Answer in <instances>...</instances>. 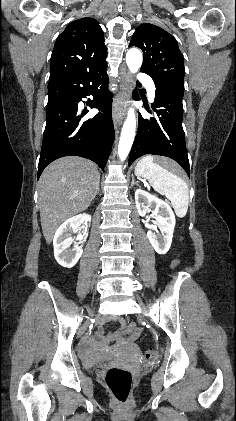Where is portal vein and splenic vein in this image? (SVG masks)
I'll use <instances>...</instances> for the list:
<instances>
[{
  "label": "portal vein and splenic vein",
  "mask_w": 236,
  "mask_h": 421,
  "mask_svg": "<svg viewBox=\"0 0 236 421\" xmlns=\"http://www.w3.org/2000/svg\"><path fill=\"white\" fill-rule=\"evenodd\" d=\"M75 196H77V194H73V196H71V198H75Z\"/></svg>",
  "instance_id": "18ae733b"
}]
</instances>
